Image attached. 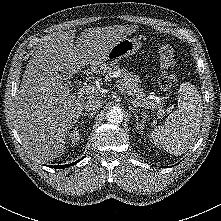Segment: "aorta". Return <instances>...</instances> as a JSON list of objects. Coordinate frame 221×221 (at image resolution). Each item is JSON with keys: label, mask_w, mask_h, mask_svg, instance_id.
<instances>
[{"label": "aorta", "mask_w": 221, "mask_h": 221, "mask_svg": "<svg viewBox=\"0 0 221 221\" xmlns=\"http://www.w3.org/2000/svg\"><path fill=\"white\" fill-rule=\"evenodd\" d=\"M107 120L112 124H119L123 120V112L120 108H113L107 112Z\"/></svg>", "instance_id": "obj_1"}]
</instances>
